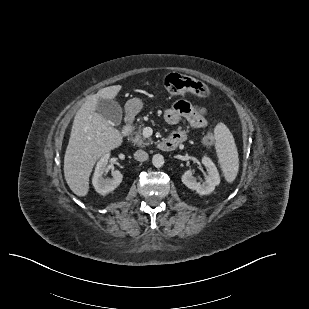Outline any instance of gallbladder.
I'll list each match as a JSON object with an SVG mask.
<instances>
[{"instance_id":"obj_1","label":"gallbladder","mask_w":309,"mask_h":309,"mask_svg":"<svg viewBox=\"0 0 309 309\" xmlns=\"http://www.w3.org/2000/svg\"><path fill=\"white\" fill-rule=\"evenodd\" d=\"M96 111L112 125H119L122 120V109L118 102L113 99L100 98Z\"/></svg>"}]
</instances>
